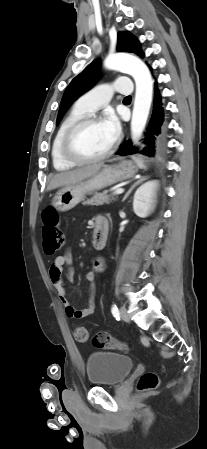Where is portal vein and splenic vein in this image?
Wrapping results in <instances>:
<instances>
[{"instance_id":"obj_1","label":"portal vein and splenic vein","mask_w":207,"mask_h":449,"mask_svg":"<svg viewBox=\"0 0 207 449\" xmlns=\"http://www.w3.org/2000/svg\"><path fill=\"white\" fill-rule=\"evenodd\" d=\"M123 192H124V189L120 188V189H117V190L114 192V194H122Z\"/></svg>"}]
</instances>
